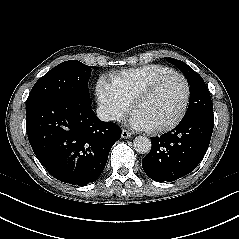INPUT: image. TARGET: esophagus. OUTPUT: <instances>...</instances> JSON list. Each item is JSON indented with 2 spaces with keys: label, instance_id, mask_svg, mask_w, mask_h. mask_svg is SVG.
Wrapping results in <instances>:
<instances>
[{
  "label": "esophagus",
  "instance_id": "obj_1",
  "mask_svg": "<svg viewBox=\"0 0 239 239\" xmlns=\"http://www.w3.org/2000/svg\"><path fill=\"white\" fill-rule=\"evenodd\" d=\"M131 136V133L125 129L122 130V138L127 139Z\"/></svg>",
  "mask_w": 239,
  "mask_h": 239
}]
</instances>
